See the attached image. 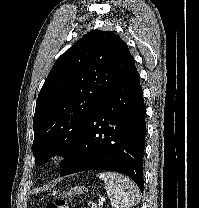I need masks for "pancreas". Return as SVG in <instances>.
I'll use <instances>...</instances> for the list:
<instances>
[{
  "label": "pancreas",
  "mask_w": 199,
  "mask_h": 208,
  "mask_svg": "<svg viewBox=\"0 0 199 208\" xmlns=\"http://www.w3.org/2000/svg\"><path fill=\"white\" fill-rule=\"evenodd\" d=\"M91 208H101L100 206H97V205H95V204H91Z\"/></svg>",
  "instance_id": "1"
}]
</instances>
